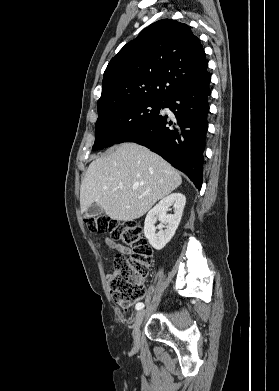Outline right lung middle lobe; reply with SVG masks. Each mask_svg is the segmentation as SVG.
Segmentation results:
<instances>
[{
	"label": "right lung middle lobe",
	"instance_id": "obj_1",
	"mask_svg": "<svg viewBox=\"0 0 279 391\" xmlns=\"http://www.w3.org/2000/svg\"><path fill=\"white\" fill-rule=\"evenodd\" d=\"M162 104V101L156 100H137L99 113L93 149L116 144L132 129L153 120Z\"/></svg>",
	"mask_w": 279,
	"mask_h": 391
}]
</instances>
